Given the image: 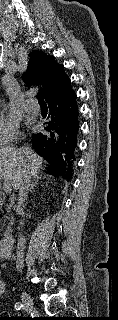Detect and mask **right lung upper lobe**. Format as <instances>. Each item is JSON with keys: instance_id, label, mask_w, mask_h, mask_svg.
Listing matches in <instances>:
<instances>
[{"instance_id": "obj_1", "label": "right lung upper lobe", "mask_w": 118, "mask_h": 320, "mask_svg": "<svg viewBox=\"0 0 118 320\" xmlns=\"http://www.w3.org/2000/svg\"><path fill=\"white\" fill-rule=\"evenodd\" d=\"M29 56L23 80L28 86H42L39 96L47 101L70 87V79L64 72V66L58 64L54 56H47L42 51H32Z\"/></svg>"}]
</instances>
